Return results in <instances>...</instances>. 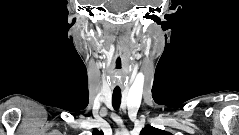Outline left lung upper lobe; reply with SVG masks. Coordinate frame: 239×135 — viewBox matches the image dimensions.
<instances>
[{
    "label": "left lung upper lobe",
    "instance_id": "obj_1",
    "mask_svg": "<svg viewBox=\"0 0 239 135\" xmlns=\"http://www.w3.org/2000/svg\"><path fill=\"white\" fill-rule=\"evenodd\" d=\"M140 135H171V133L164 130L154 128L150 125H146L140 132Z\"/></svg>",
    "mask_w": 239,
    "mask_h": 135
}]
</instances>
